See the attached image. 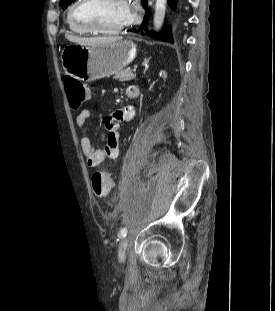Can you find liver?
<instances>
[{
	"label": "liver",
	"instance_id": "obj_1",
	"mask_svg": "<svg viewBox=\"0 0 275 311\" xmlns=\"http://www.w3.org/2000/svg\"><path fill=\"white\" fill-rule=\"evenodd\" d=\"M69 41L75 42L81 45H95V44H108L122 40V37H91L82 38L71 35L65 36Z\"/></svg>",
	"mask_w": 275,
	"mask_h": 311
}]
</instances>
